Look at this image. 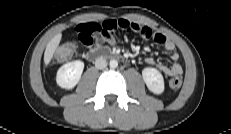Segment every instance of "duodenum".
<instances>
[{"mask_svg":"<svg viewBox=\"0 0 231 134\" xmlns=\"http://www.w3.org/2000/svg\"><path fill=\"white\" fill-rule=\"evenodd\" d=\"M118 57H120L118 53L103 47L94 48L91 51H89L87 54V59L90 61H96L102 58H118Z\"/></svg>","mask_w":231,"mask_h":134,"instance_id":"duodenum-1","label":"duodenum"}]
</instances>
